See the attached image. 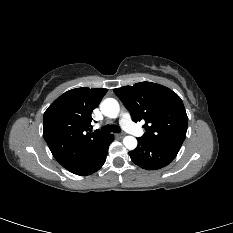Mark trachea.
Returning a JSON list of instances; mask_svg holds the SVG:
<instances>
[{"instance_id":"1","label":"trachea","mask_w":233,"mask_h":233,"mask_svg":"<svg viewBox=\"0 0 233 233\" xmlns=\"http://www.w3.org/2000/svg\"><path fill=\"white\" fill-rule=\"evenodd\" d=\"M102 132L103 133H110V132L120 133L121 129L117 125H105L102 128Z\"/></svg>"}]
</instances>
